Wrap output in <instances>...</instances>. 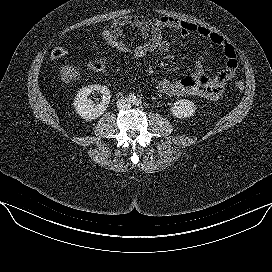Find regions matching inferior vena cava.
<instances>
[{
  "label": "inferior vena cava",
  "mask_w": 272,
  "mask_h": 272,
  "mask_svg": "<svg viewBox=\"0 0 272 272\" xmlns=\"http://www.w3.org/2000/svg\"><path fill=\"white\" fill-rule=\"evenodd\" d=\"M116 105L119 109L128 110L131 108V102L127 97H121L117 100Z\"/></svg>",
  "instance_id": "inferior-vena-cava-1"
}]
</instances>
